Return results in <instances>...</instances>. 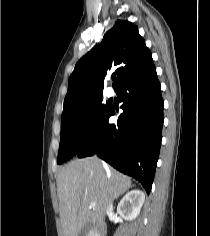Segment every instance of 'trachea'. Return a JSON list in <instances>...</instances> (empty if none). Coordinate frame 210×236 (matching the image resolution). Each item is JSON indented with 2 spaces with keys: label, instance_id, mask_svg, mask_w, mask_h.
Instances as JSON below:
<instances>
[{
  "label": "trachea",
  "instance_id": "obj_1",
  "mask_svg": "<svg viewBox=\"0 0 210 236\" xmlns=\"http://www.w3.org/2000/svg\"><path fill=\"white\" fill-rule=\"evenodd\" d=\"M112 79L114 80V79H115V76H112Z\"/></svg>",
  "mask_w": 210,
  "mask_h": 236
}]
</instances>
